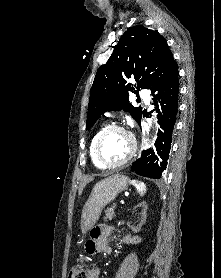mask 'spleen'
<instances>
[{
    "label": "spleen",
    "mask_w": 221,
    "mask_h": 278,
    "mask_svg": "<svg viewBox=\"0 0 221 278\" xmlns=\"http://www.w3.org/2000/svg\"><path fill=\"white\" fill-rule=\"evenodd\" d=\"M131 184L136 187L140 195H144L146 193V185L143 182L132 180Z\"/></svg>",
    "instance_id": "spleen-1"
}]
</instances>
